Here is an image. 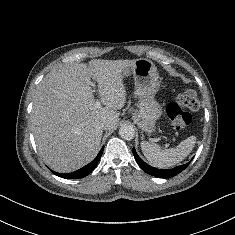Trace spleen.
Instances as JSON below:
<instances>
[{"label": "spleen", "mask_w": 235, "mask_h": 235, "mask_svg": "<svg viewBox=\"0 0 235 235\" xmlns=\"http://www.w3.org/2000/svg\"><path fill=\"white\" fill-rule=\"evenodd\" d=\"M196 137L190 136L180 142L176 148L162 150L159 145L141 142V149L147 161L154 167L169 168L184 160L193 150Z\"/></svg>", "instance_id": "1"}]
</instances>
